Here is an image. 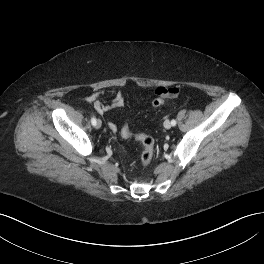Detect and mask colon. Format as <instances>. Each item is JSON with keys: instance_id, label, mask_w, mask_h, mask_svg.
<instances>
[{"instance_id": "5ec220e1", "label": "colon", "mask_w": 264, "mask_h": 264, "mask_svg": "<svg viewBox=\"0 0 264 264\" xmlns=\"http://www.w3.org/2000/svg\"><path fill=\"white\" fill-rule=\"evenodd\" d=\"M164 103V99L156 97L153 99L152 104L154 107H159ZM121 136L125 139L133 138L142 144V152L140 156V164L146 167L152 160L155 150V140L152 136L147 134H132L127 125L121 129Z\"/></svg>"}]
</instances>
